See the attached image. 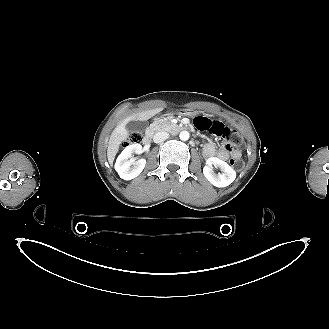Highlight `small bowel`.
I'll return each instance as SVG.
<instances>
[{
    "label": "small bowel",
    "instance_id": "obj_1",
    "mask_svg": "<svg viewBox=\"0 0 329 329\" xmlns=\"http://www.w3.org/2000/svg\"><path fill=\"white\" fill-rule=\"evenodd\" d=\"M192 126L206 134H215L224 143L219 149L213 143H207L204 147V154L207 157H216L219 160L226 161L229 158H239L240 151L231 149L226 144L231 140L233 129L224 122H218L215 119H209L206 116H195L192 119Z\"/></svg>",
    "mask_w": 329,
    "mask_h": 329
}]
</instances>
